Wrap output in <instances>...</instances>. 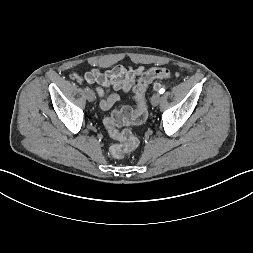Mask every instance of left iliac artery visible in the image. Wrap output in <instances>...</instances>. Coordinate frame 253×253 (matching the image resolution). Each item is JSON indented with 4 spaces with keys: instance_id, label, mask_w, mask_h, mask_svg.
<instances>
[{
    "instance_id": "obj_1",
    "label": "left iliac artery",
    "mask_w": 253,
    "mask_h": 253,
    "mask_svg": "<svg viewBox=\"0 0 253 253\" xmlns=\"http://www.w3.org/2000/svg\"><path fill=\"white\" fill-rule=\"evenodd\" d=\"M165 92V89L164 88H161L160 90H159V93L160 94H163Z\"/></svg>"
}]
</instances>
